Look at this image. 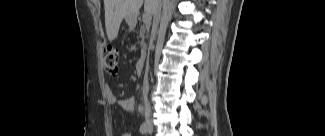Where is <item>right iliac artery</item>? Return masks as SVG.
<instances>
[{
	"instance_id": "1",
	"label": "right iliac artery",
	"mask_w": 325,
	"mask_h": 136,
	"mask_svg": "<svg viewBox=\"0 0 325 136\" xmlns=\"http://www.w3.org/2000/svg\"><path fill=\"white\" fill-rule=\"evenodd\" d=\"M147 129H148L147 124L144 122V123L140 126V132H141L142 134H146V133H147Z\"/></svg>"
}]
</instances>
